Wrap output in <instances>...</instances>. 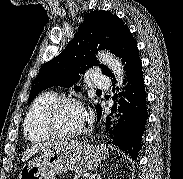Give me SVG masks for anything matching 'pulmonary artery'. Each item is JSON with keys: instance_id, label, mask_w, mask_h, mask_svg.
<instances>
[{"instance_id": "1", "label": "pulmonary artery", "mask_w": 183, "mask_h": 179, "mask_svg": "<svg viewBox=\"0 0 183 179\" xmlns=\"http://www.w3.org/2000/svg\"><path fill=\"white\" fill-rule=\"evenodd\" d=\"M94 85L97 88H108L110 86V79L107 76L95 74Z\"/></svg>"}]
</instances>
